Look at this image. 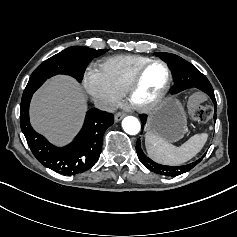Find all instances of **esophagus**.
Returning a JSON list of instances; mask_svg holds the SVG:
<instances>
[{
	"instance_id": "obj_1",
	"label": "esophagus",
	"mask_w": 237,
	"mask_h": 237,
	"mask_svg": "<svg viewBox=\"0 0 237 237\" xmlns=\"http://www.w3.org/2000/svg\"><path fill=\"white\" fill-rule=\"evenodd\" d=\"M125 115H126V114L123 113V112L117 113V114L115 115V122H119L120 120H122V118H124Z\"/></svg>"
}]
</instances>
